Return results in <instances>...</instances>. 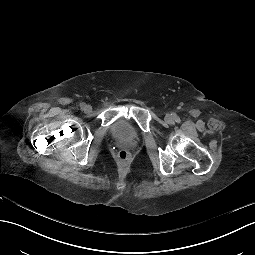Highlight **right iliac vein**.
Segmentation results:
<instances>
[{"label": "right iliac vein", "instance_id": "63e3f726", "mask_svg": "<svg viewBox=\"0 0 255 255\" xmlns=\"http://www.w3.org/2000/svg\"><path fill=\"white\" fill-rule=\"evenodd\" d=\"M83 110L85 113H90L92 111V107L90 105H86Z\"/></svg>", "mask_w": 255, "mask_h": 255}]
</instances>
